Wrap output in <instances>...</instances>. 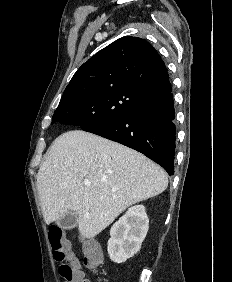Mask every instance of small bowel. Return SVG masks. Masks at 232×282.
I'll return each mask as SVG.
<instances>
[{
    "mask_svg": "<svg viewBox=\"0 0 232 282\" xmlns=\"http://www.w3.org/2000/svg\"><path fill=\"white\" fill-rule=\"evenodd\" d=\"M81 271H82V270H81ZM81 277H82V279H81L80 282H91L89 279H87V278L85 277V275H84L83 272H81Z\"/></svg>",
    "mask_w": 232,
    "mask_h": 282,
    "instance_id": "1",
    "label": "small bowel"
}]
</instances>
